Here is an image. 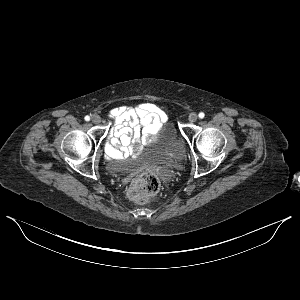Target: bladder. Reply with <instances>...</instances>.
Segmentation results:
<instances>
[{
  "mask_svg": "<svg viewBox=\"0 0 300 300\" xmlns=\"http://www.w3.org/2000/svg\"><path fill=\"white\" fill-rule=\"evenodd\" d=\"M156 155L155 160L159 163L167 164L172 167H178L183 163V151L178 146V139L173 129H169L163 136H156L152 141ZM106 168L112 173H118L126 170L128 165L123 161H108Z\"/></svg>",
  "mask_w": 300,
  "mask_h": 300,
  "instance_id": "31cf9c89",
  "label": "bladder"
}]
</instances>
